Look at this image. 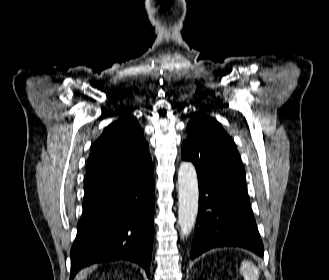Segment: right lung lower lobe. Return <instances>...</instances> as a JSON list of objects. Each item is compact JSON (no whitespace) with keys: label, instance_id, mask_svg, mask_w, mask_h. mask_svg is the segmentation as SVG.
<instances>
[{"label":"right lung lower lobe","instance_id":"obj_1","mask_svg":"<svg viewBox=\"0 0 329 280\" xmlns=\"http://www.w3.org/2000/svg\"><path fill=\"white\" fill-rule=\"evenodd\" d=\"M82 218L71 248L70 280L85 266L129 260L147 276L154 237L153 169L113 175L87 185Z\"/></svg>","mask_w":329,"mask_h":280}]
</instances>
